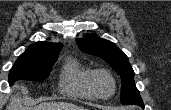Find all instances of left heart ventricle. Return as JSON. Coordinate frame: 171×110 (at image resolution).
I'll list each match as a JSON object with an SVG mask.
<instances>
[{
    "instance_id": "b2bd125f",
    "label": "left heart ventricle",
    "mask_w": 171,
    "mask_h": 110,
    "mask_svg": "<svg viewBox=\"0 0 171 110\" xmlns=\"http://www.w3.org/2000/svg\"><path fill=\"white\" fill-rule=\"evenodd\" d=\"M96 88L101 95L107 96L112 92V83L105 76H99L96 80Z\"/></svg>"
}]
</instances>
